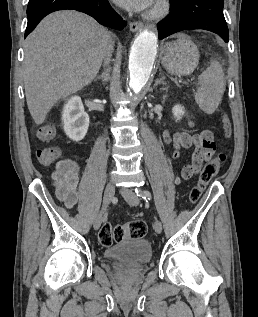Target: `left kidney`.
<instances>
[{
	"label": "left kidney",
	"instance_id": "1",
	"mask_svg": "<svg viewBox=\"0 0 258 317\" xmlns=\"http://www.w3.org/2000/svg\"><path fill=\"white\" fill-rule=\"evenodd\" d=\"M172 112L175 116V120H180L182 118V114H184V106H181V104H175L172 108Z\"/></svg>",
	"mask_w": 258,
	"mask_h": 317
}]
</instances>
